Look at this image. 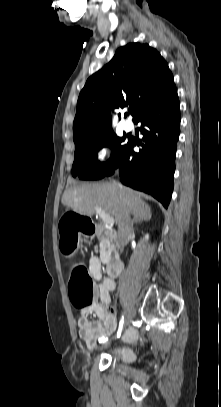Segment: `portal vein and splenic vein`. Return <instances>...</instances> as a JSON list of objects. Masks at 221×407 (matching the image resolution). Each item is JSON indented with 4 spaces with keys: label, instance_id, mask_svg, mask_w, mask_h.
<instances>
[{
    "label": "portal vein and splenic vein",
    "instance_id": "obj_1",
    "mask_svg": "<svg viewBox=\"0 0 221 407\" xmlns=\"http://www.w3.org/2000/svg\"><path fill=\"white\" fill-rule=\"evenodd\" d=\"M96 213L99 215V217L102 219L103 223L108 225V226H113L114 225V217L106 213L104 210L101 208H98L96 210Z\"/></svg>",
    "mask_w": 221,
    "mask_h": 407
}]
</instances>
